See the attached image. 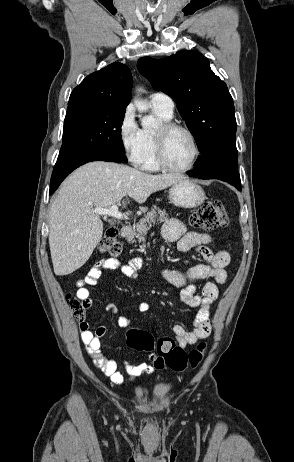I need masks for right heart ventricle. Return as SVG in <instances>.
Listing matches in <instances>:
<instances>
[{
    "mask_svg": "<svg viewBox=\"0 0 294 462\" xmlns=\"http://www.w3.org/2000/svg\"><path fill=\"white\" fill-rule=\"evenodd\" d=\"M154 113L162 120L169 121L172 115H169L159 109L153 108ZM155 131L151 129H143L142 137L144 143V151L139 164V167L147 172L159 171V166L156 161V150H155Z\"/></svg>",
    "mask_w": 294,
    "mask_h": 462,
    "instance_id": "1",
    "label": "right heart ventricle"
}]
</instances>
